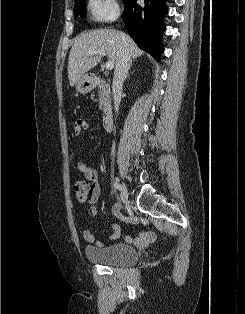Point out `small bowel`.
<instances>
[{"mask_svg": "<svg viewBox=\"0 0 245 314\" xmlns=\"http://www.w3.org/2000/svg\"><path fill=\"white\" fill-rule=\"evenodd\" d=\"M86 127H87V123L84 120L82 119L78 120L74 125V129H73L74 134L79 135L82 132V130L85 129ZM77 168L79 172L84 175L85 179L88 180L91 185V195L88 200L89 212L93 216H97V209H96L95 204L98 201L100 192H101L100 185L98 184V181H97L98 179L97 168L95 166L87 165L83 162H78ZM119 210H120L119 204H115L112 208L113 214L117 217L121 216ZM111 229H112V234L110 235V237L107 240L98 241L97 242L98 245H104L107 241L115 240L120 237L121 229L119 225L112 224ZM83 238L87 242L95 241V235L89 229H86L83 231ZM155 238L156 236L153 231H147V232H141L137 234L136 236L128 235L126 236L125 239H126V242L129 244H135L137 246H146L154 242Z\"/></svg>", "mask_w": 245, "mask_h": 314, "instance_id": "1", "label": "small bowel"}]
</instances>
